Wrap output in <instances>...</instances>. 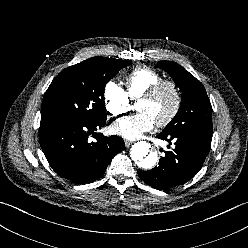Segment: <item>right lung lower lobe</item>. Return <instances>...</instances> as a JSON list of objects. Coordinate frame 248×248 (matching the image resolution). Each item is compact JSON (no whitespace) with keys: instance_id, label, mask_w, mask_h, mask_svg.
<instances>
[{"instance_id":"right-lung-lower-lobe-1","label":"right lung lower lobe","mask_w":248,"mask_h":248,"mask_svg":"<svg viewBox=\"0 0 248 248\" xmlns=\"http://www.w3.org/2000/svg\"><path fill=\"white\" fill-rule=\"evenodd\" d=\"M106 121V120H105ZM105 121L91 122L62 117L41 118L39 141L53 170L74 183H90L100 178L112 158L125 148L121 137L94 133ZM97 136L90 142L89 136Z\"/></svg>"}]
</instances>
